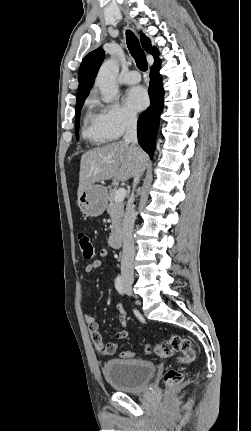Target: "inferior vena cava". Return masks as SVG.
<instances>
[{"mask_svg": "<svg viewBox=\"0 0 251 431\" xmlns=\"http://www.w3.org/2000/svg\"><path fill=\"white\" fill-rule=\"evenodd\" d=\"M125 143H131L136 148L137 144V118L135 115H130L126 121V132L123 137ZM143 173V168L138 170L134 175V188L139 183V179ZM134 195L126 208L124 220H123V254L121 260V274L122 278L133 280V262H134V241H133V229L136 214L134 211Z\"/></svg>", "mask_w": 251, "mask_h": 431, "instance_id": "obj_1", "label": "inferior vena cava"}]
</instances>
